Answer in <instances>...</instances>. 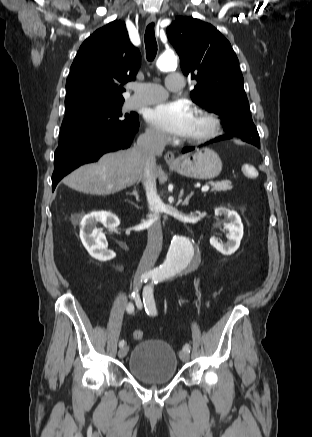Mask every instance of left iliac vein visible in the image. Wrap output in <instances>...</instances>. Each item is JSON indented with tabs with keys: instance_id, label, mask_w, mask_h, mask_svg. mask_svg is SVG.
<instances>
[{
	"instance_id": "4c4485c4",
	"label": "left iliac vein",
	"mask_w": 312,
	"mask_h": 437,
	"mask_svg": "<svg viewBox=\"0 0 312 437\" xmlns=\"http://www.w3.org/2000/svg\"><path fill=\"white\" fill-rule=\"evenodd\" d=\"M179 356L183 362H188L190 359L189 352L184 350L180 351Z\"/></svg>"
}]
</instances>
